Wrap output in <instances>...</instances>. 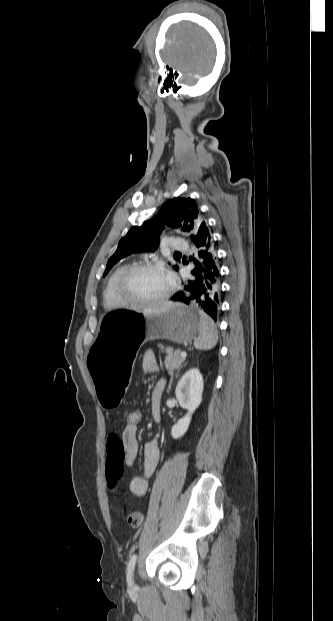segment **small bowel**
Returning <instances> with one entry per match:
<instances>
[{
	"instance_id": "1",
	"label": "small bowel",
	"mask_w": 333,
	"mask_h": 621,
	"mask_svg": "<svg viewBox=\"0 0 333 621\" xmlns=\"http://www.w3.org/2000/svg\"><path fill=\"white\" fill-rule=\"evenodd\" d=\"M142 370L146 374H156L158 370L154 354L146 352L142 358ZM165 388V380L159 379L152 390V413L155 419L159 418L160 401ZM106 478L110 487H115L123 476L124 466L134 467L139 454L137 441V425L126 424L120 435H110L106 447ZM159 462V448L155 441H149L143 449V471L140 475H133L129 489L132 494L142 497L149 486V478L154 473Z\"/></svg>"
}]
</instances>
